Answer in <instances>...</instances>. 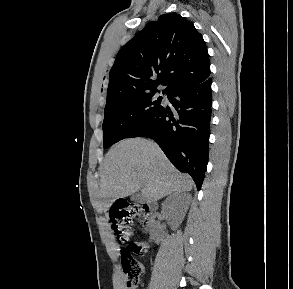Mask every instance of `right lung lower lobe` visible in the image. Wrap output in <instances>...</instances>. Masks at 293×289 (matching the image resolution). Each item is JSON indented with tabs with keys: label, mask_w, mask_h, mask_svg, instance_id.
I'll use <instances>...</instances> for the list:
<instances>
[{
	"label": "right lung lower lobe",
	"mask_w": 293,
	"mask_h": 289,
	"mask_svg": "<svg viewBox=\"0 0 293 289\" xmlns=\"http://www.w3.org/2000/svg\"><path fill=\"white\" fill-rule=\"evenodd\" d=\"M168 100L172 109L162 106L129 138L154 139L172 164L190 174L200 189L209 156L211 78L176 89Z\"/></svg>",
	"instance_id": "1"
}]
</instances>
